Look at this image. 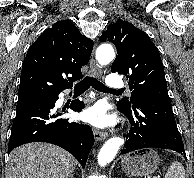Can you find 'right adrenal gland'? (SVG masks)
<instances>
[{"mask_svg":"<svg viewBox=\"0 0 194 178\" xmlns=\"http://www.w3.org/2000/svg\"><path fill=\"white\" fill-rule=\"evenodd\" d=\"M69 178H73V175H71Z\"/></svg>","mask_w":194,"mask_h":178,"instance_id":"right-adrenal-gland-1","label":"right adrenal gland"}]
</instances>
